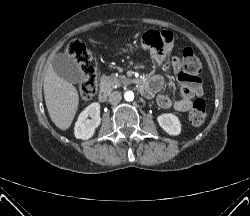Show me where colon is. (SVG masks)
I'll return each mask as SVG.
<instances>
[{"instance_id":"5ec220e1","label":"colon","mask_w":250,"mask_h":216,"mask_svg":"<svg viewBox=\"0 0 250 216\" xmlns=\"http://www.w3.org/2000/svg\"><path fill=\"white\" fill-rule=\"evenodd\" d=\"M68 54L78 63L82 72L79 94L83 101L91 100L97 91V62L85 44L79 41L71 43L67 48ZM180 68L188 77H197L201 72V62L194 51L186 48L181 57ZM206 105L202 99L193 102L189 112V120L199 126L206 120Z\"/></svg>"}]
</instances>
